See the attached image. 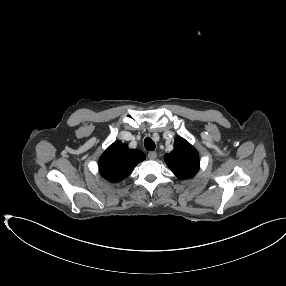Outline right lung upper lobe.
<instances>
[{
    "label": "right lung upper lobe",
    "instance_id": "1",
    "mask_svg": "<svg viewBox=\"0 0 286 286\" xmlns=\"http://www.w3.org/2000/svg\"><path fill=\"white\" fill-rule=\"evenodd\" d=\"M145 159L142 151L129 149L125 143L114 142L99 159V171L109 182L125 179Z\"/></svg>",
    "mask_w": 286,
    "mask_h": 286
}]
</instances>
